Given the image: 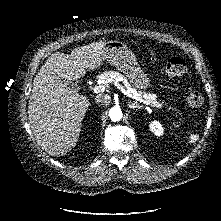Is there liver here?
Instances as JSON below:
<instances>
[{
	"mask_svg": "<svg viewBox=\"0 0 221 221\" xmlns=\"http://www.w3.org/2000/svg\"><path fill=\"white\" fill-rule=\"evenodd\" d=\"M104 41L52 54L33 80L28 118L37 144L51 156L75 147L89 100L61 80L72 82L103 62Z\"/></svg>",
	"mask_w": 221,
	"mask_h": 221,
	"instance_id": "6515ba94",
	"label": "liver"
}]
</instances>
